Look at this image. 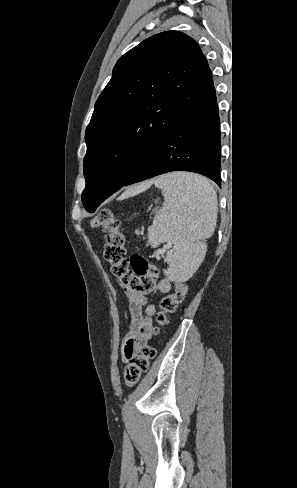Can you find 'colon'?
Returning <instances> with one entry per match:
<instances>
[{"mask_svg":"<svg viewBox=\"0 0 297 488\" xmlns=\"http://www.w3.org/2000/svg\"><path fill=\"white\" fill-rule=\"evenodd\" d=\"M92 226L101 229L105 234L104 257L111 265L112 273L119 282L140 293L152 292L156 287L158 268L139 254L133 255L130 259L127 257L125 237L120 230V220L115 214L109 209L100 210L94 217ZM187 292V284L177 282L174 292L161 299L160 310L156 314V326L153 329L155 336L161 335L169 321L168 315L175 311L186 297ZM155 354V348L146 345L140 353L129 360L123 372V379L128 387L136 385L142 374L148 371Z\"/></svg>","mask_w":297,"mask_h":488,"instance_id":"obj_1","label":"colon"}]
</instances>
